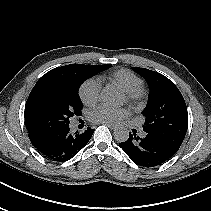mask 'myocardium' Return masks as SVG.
Returning a JSON list of instances; mask_svg holds the SVG:
<instances>
[{"instance_id":"obj_1","label":"myocardium","mask_w":211,"mask_h":211,"mask_svg":"<svg viewBox=\"0 0 211 211\" xmlns=\"http://www.w3.org/2000/svg\"><path fill=\"white\" fill-rule=\"evenodd\" d=\"M125 96L127 101L132 104L133 106H141L146 98V92L144 89L136 88L133 90L125 91Z\"/></svg>"}]
</instances>
